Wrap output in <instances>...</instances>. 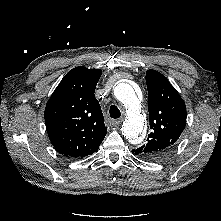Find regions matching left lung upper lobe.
<instances>
[{"instance_id": "1", "label": "left lung upper lobe", "mask_w": 221, "mask_h": 221, "mask_svg": "<svg viewBox=\"0 0 221 221\" xmlns=\"http://www.w3.org/2000/svg\"><path fill=\"white\" fill-rule=\"evenodd\" d=\"M150 129L147 142L134 154L155 161L172 150L186 125V106L167 78L155 70L146 72Z\"/></svg>"}]
</instances>
